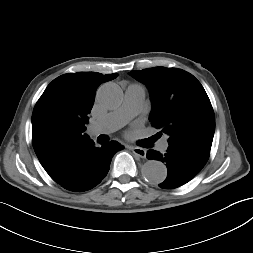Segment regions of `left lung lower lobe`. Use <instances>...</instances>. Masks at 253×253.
<instances>
[{
	"mask_svg": "<svg viewBox=\"0 0 253 253\" xmlns=\"http://www.w3.org/2000/svg\"><path fill=\"white\" fill-rule=\"evenodd\" d=\"M147 158L166 163L167 178L159 187L172 189L184 185L197 175L206 164L209 153L185 145L169 144L164 155L150 149Z\"/></svg>",
	"mask_w": 253,
	"mask_h": 253,
	"instance_id": "0a47b994",
	"label": "left lung lower lobe"
}]
</instances>
